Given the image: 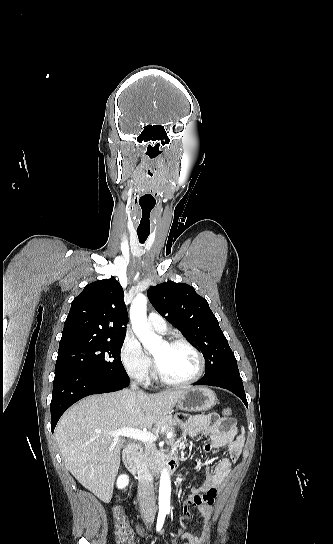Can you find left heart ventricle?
Segmentation results:
<instances>
[{
	"mask_svg": "<svg viewBox=\"0 0 333 544\" xmlns=\"http://www.w3.org/2000/svg\"><path fill=\"white\" fill-rule=\"evenodd\" d=\"M152 354L161 374L168 380L184 381L198 370L197 356L183 345L168 346L162 342Z\"/></svg>",
	"mask_w": 333,
	"mask_h": 544,
	"instance_id": "left-heart-ventricle-1",
	"label": "left heart ventricle"
}]
</instances>
